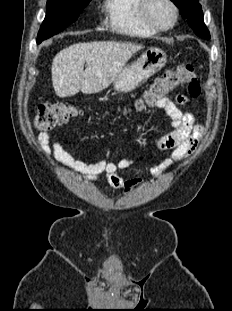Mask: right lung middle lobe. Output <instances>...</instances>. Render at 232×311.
Returning <instances> with one entry per match:
<instances>
[{
  "mask_svg": "<svg viewBox=\"0 0 232 311\" xmlns=\"http://www.w3.org/2000/svg\"><path fill=\"white\" fill-rule=\"evenodd\" d=\"M90 1L47 0V12L37 36V43L61 32L74 22Z\"/></svg>",
  "mask_w": 232,
  "mask_h": 311,
  "instance_id": "dd1d6c3e",
  "label": "right lung middle lobe"
}]
</instances>
